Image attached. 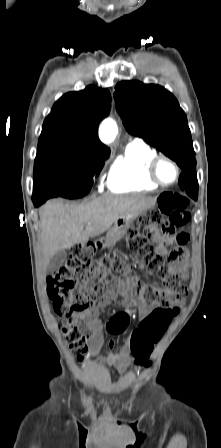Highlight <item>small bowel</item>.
I'll return each mask as SVG.
<instances>
[{"mask_svg":"<svg viewBox=\"0 0 221 448\" xmlns=\"http://www.w3.org/2000/svg\"><path fill=\"white\" fill-rule=\"evenodd\" d=\"M147 231L157 234V229L153 226L149 227ZM188 241L189 234L183 231L174 236H162L157 247L158 252L170 260L172 268L183 274H186L188 268L186 249ZM170 244H174L172 250H168ZM106 283L107 289L98 298V301L89 308L74 313L71 320L72 323H83V329L89 333L88 343L84 351L91 355L99 353L104 341V324L100 318V309L111 303L117 295L122 297V304L126 308L138 304L139 314L143 320L154 312V309L144 307L132 296L130 286L125 278L108 275ZM129 322L130 313L128 311L117 313L109 320L108 331L111 334H120L127 328ZM109 346L111 351L101 358L106 365L114 367L121 374L127 369L131 360L135 359L131 347V338L119 350L114 349L113 341L109 343Z\"/></svg>","mask_w":221,"mask_h":448,"instance_id":"obj_1","label":"small bowel"}]
</instances>
